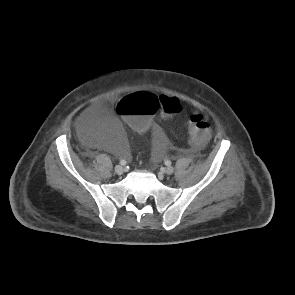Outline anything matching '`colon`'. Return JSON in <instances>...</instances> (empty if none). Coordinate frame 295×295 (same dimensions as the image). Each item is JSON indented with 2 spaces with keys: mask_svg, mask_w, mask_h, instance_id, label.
I'll use <instances>...</instances> for the list:
<instances>
[{
  "mask_svg": "<svg viewBox=\"0 0 295 295\" xmlns=\"http://www.w3.org/2000/svg\"><path fill=\"white\" fill-rule=\"evenodd\" d=\"M115 107L127 124L135 129H144L150 124L152 115L160 112L170 116L179 113L182 105L178 98L138 92L117 100ZM188 133L191 143L202 145L209 140L211 129L203 117L190 114Z\"/></svg>",
  "mask_w": 295,
  "mask_h": 295,
  "instance_id": "obj_1",
  "label": "colon"
}]
</instances>
